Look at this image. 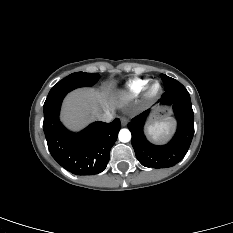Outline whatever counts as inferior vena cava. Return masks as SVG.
I'll return each mask as SVG.
<instances>
[{
    "label": "inferior vena cava",
    "mask_w": 233,
    "mask_h": 233,
    "mask_svg": "<svg viewBox=\"0 0 233 233\" xmlns=\"http://www.w3.org/2000/svg\"><path fill=\"white\" fill-rule=\"evenodd\" d=\"M114 117V113L110 112L109 110H106L100 114H98L97 118L100 120V121H103V122H111L112 119Z\"/></svg>",
    "instance_id": "1"
}]
</instances>
